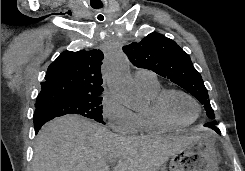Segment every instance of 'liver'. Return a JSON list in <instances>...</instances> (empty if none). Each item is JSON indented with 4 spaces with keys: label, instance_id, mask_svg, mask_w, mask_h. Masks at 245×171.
<instances>
[{
    "label": "liver",
    "instance_id": "obj_1",
    "mask_svg": "<svg viewBox=\"0 0 245 171\" xmlns=\"http://www.w3.org/2000/svg\"><path fill=\"white\" fill-rule=\"evenodd\" d=\"M197 136L148 135L123 137L77 115L56 118L40 130L33 171H158Z\"/></svg>",
    "mask_w": 245,
    "mask_h": 171
}]
</instances>
